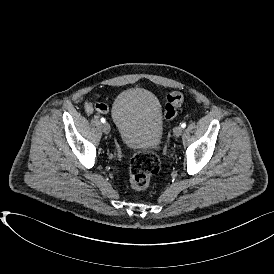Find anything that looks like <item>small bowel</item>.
<instances>
[{
    "label": "small bowel",
    "mask_w": 274,
    "mask_h": 274,
    "mask_svg": "<svg viewBox=\"0 0 274 274\" xmlns=\"http://www.w3.org/2000/svg\"><path fill=\"white\" fill-rule=\"evenodd\" d=\"M94 97H95V98H98L99 95H95ZM88 103H92V102H86V103L84 104V109H85L86 114L90 115V114H92L94 111H90V110H88V109L86 108V106H87ZM97 104H98V106H99V109H97L98 112H100V113H108L109 107H108L105 103H97Z\"/></svg>",
    "instance_id": "small-bowel-1"
}]
</instances>
